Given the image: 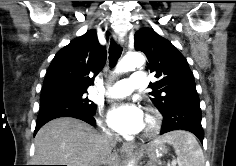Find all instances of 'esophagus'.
Here are the masks:
<instances>
[{
  "label": "esophagus",
  "instance_id": "34e87169",
  "mask_svg": "<svg viewBox=\"0 0 236 166\" xmlns=\"http://www.w3.org/2000/svg\"><path fill=\"white\" fill-rule=\"evenodd\" d=\"M118 39V43L123 47V52L127 51V41L124 36L116 37ZM135 148L133 143H124L121 147L122 151H131Z\"/></svg>",
  "mask_w": 236,
  "mask_h": 166
}]
</instances>
